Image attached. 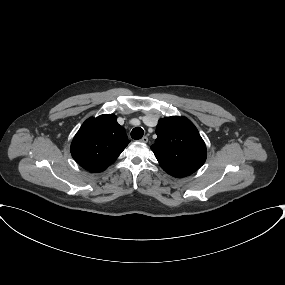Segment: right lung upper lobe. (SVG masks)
I'll list each match as a JSON object with an SVG mask.
<instances>
[{
  "instance_id": "obj_1",
  "label": "right lung upper lobe",
  "mask_w": 285,
  "mask_h": 285,
  "mask_svg": "<svg viewBox=\"0 0 285 285\" xmlns=\"http://www.w3.org/2000/svg\"><path fill=\"white\" fill-rule=\"evenodd\" d=\"M125 129L114 114L87 119L73 138L74 160L90 172H102L129 144Z\"/></svg>"
}]
</instances>
